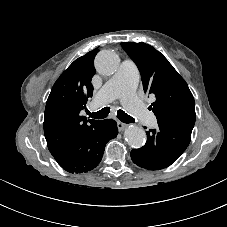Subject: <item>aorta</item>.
Wrapping results in <instances>:
<instances>
[{"label": "aorta", "instance_id": "obj_1", "mask_svg": "<svg viewBox=\"0 0 227 227\" xmlns=\"http://www.w3.org/2000/svg\"><path fill=\"white\" fill-rule=\"evenodd\" d=\"M95 67L100 74L112 75L119 67V57L110 50L100 51L95 58ZM124 137L132 148H140L146 141L145 131L136 125H129L125 129Z\"/></svg>", "mask_w": 227, "mask_h": 227}]
</instances>
